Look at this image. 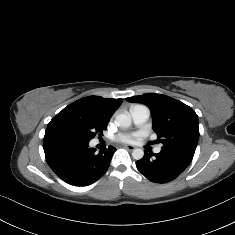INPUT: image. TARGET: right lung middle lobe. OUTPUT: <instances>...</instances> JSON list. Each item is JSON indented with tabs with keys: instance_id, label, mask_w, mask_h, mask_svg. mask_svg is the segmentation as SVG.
Masks as SVG:
<instances>
[{
	"instance_id": "dd1d6c3e",
	"label": "right lung middle lobe",
	"mask_w": 235,
	"mask_h": 235,
	"mask_svg": "<svg viewBox=\"0 0 235 235\" xmlns=\"http://www.w3.org/2000/svg\"><path fill=\"white\" fill-rule=\"evenodd\" d=\"M107 124L101 116L91 113L66 117L59 123V128L84 141H90L96 134L102 135Z\"/></svg>"
}]
</instances>
